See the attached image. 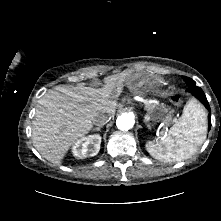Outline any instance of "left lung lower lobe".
Wrapping results in <instances>:
<instances>
[{"instance_id": "left-lung-lower-lobe-1", "label": "left lung lower lobe", "mask_w": 221, "mask_h": 221, "mask_svg": "<svg viewBox=\"0 0 221 221\" xmlns=\"http://www.w3.org/2000/svg\"><path fill=\"white\" fill-rule=\"evenodd\" d=\"M189 92L193 93L203 104L204 106L210 110L209 103L207 101V98L203 92V90L200 87H197L195 84L189 85L188 89ZM209 120V130L211 128V114L208 115Z\"/></svg>"}]
</instances>
